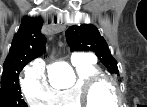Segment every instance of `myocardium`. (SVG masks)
<instances>
[{"label":"myocardium","instance_id":"myocardium-1","mask_svg":"<svg viewBox=\"0 0 147 107\" xmlns=\"http://www.w3.org/2000/svg\"><path fill=\"white\" fill-rule=\"evenodd\" d=\"M103 83L110 84L116 93L117 103L122 102L117 82L112 77L99 73L89 77L81 84L79 96L83 107H94L91 100L92 92L97 86Z\"/></svg>","mask_w":147,"mask_h":107}]
</instances>
